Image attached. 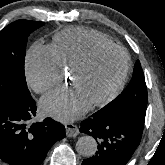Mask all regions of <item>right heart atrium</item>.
I'll use <instances>...</instances> for the list:
<instances>
[{"label": "right heart atrium", "mask_w": 165, "mask_h": 165, "mask_svg": "<svg viewBox=\"0 0 165 165\" xmlns=\"http://www.w3.org/2000/svg\"><path fill=\"white\" fill-rule=\"evenodd\" d=\"M28 85L36 93H45L62 81L61 65L51 46L33 45L26 56Z\"/></svg>", "instance_id": "1"}]
</instances>
